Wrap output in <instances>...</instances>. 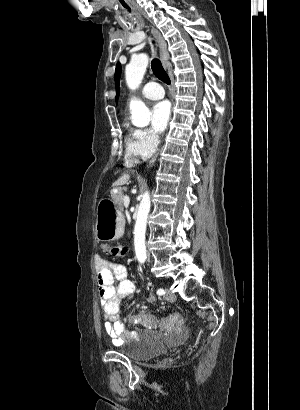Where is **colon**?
<instances>
[{
    "mask_svg": "<svg viewBox=\"0 0 300 410\" xmlns=\"http://www.w3.org/2000/svg\"><path fill=\"white\" fill-rule=\"evenodd\" d=\"M126 252V247L122 245H115L111 246L107 249V255L112 257V258H118L121 257L125 254ZM166 319L169 325H177L181 324L183 322V317L181 315H178L177 312H168L166 314ZM134 322H142L147 326H153L154 325V319L147 314L146 312H139L134 318Z\"/></svg>",
    "mask_w": 300,
    "mask_h": 410,
    "instance_id": "1",
    "label": "colon"
}]
</instances>
